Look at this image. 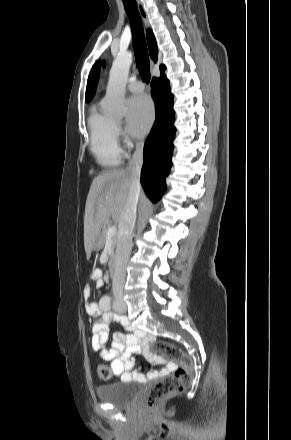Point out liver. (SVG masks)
Segmentation results:
<instances>
[{"label":"liver","mask_w":291,"mask_h":440,"mask_svg":"<svg viewBox=\"0 0 291 440\" xmlns=\"http://www.w3.org/2000/svg\"><path fill=\"white\" fill-rule=\"evenodd\" d=\"M130 186V175L124 169L109 170L93 179L84 216V247L88 257L99 239L103 224L110 217L114 222H120Z\"/></svg>","instance_id":"liver-1"}]
</instances>
